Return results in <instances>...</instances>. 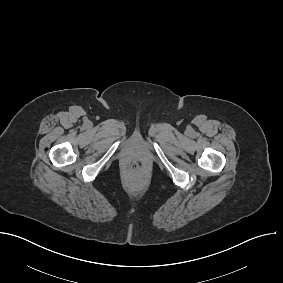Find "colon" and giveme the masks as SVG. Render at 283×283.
Instances as JSON below:
<instances>
[{
	"instance_id": "1",
	"label": "colon",
	"mask_w": 283,
	"mask_h": 283,
	"mask_svg": "<svg viewBox=\"0 0 283 283\" xmlns=\"http://www.w3.org/2000/svg\"><path fill=\"white\" fill-rule=\"evenodd\" d=\"M131 171L133 173H139L141 171V166L138 163H133L131 166Z\"/></svg>"
}]
</instances>
